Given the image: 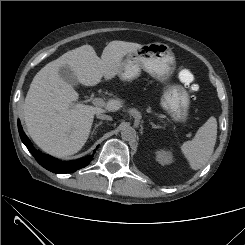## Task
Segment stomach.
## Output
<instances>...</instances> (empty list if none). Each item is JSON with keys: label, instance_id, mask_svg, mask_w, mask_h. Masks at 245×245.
Instances as JSON below:
<instances>
[{"label": "stomach", "instance_id": "obj_1", "mask_svg": "<svg viewBox=\"0 0 245 245\" xmlns=\"http://www.w3.org/2000/svg\"><path fill=\"white\" fill-rule=\"evenodd\" d=\"M175 63V56L168 45L160 42L144 44L126 56L119 76L124 81H131L138 78L143 70L164 82L172 75ZM161 105L174 120H186L189 97L181 86H169L163 93Z\"/></svg>", "mask_w": 245, "mask_h": 245}]
</instances>
